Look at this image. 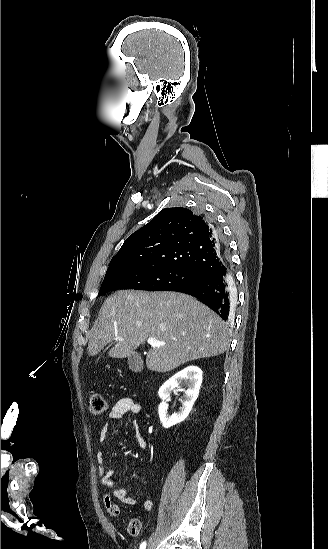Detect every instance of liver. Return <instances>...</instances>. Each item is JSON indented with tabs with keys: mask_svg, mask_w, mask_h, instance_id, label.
Masks as SVG:
<instances>
[{
	"mask_svg": "<svg viewBox=\"0 0 328 549\" xmlns=\"http://www.w3.org/2000/svg\"><path fill=\"white\" fill-rule=\"evenodd\" d=\"M88 339L90 357L115 343L108 355L113 359L130 357L147 339L165 341L164 347L151 345L147 353L146 367L157 373L221 355L230 345L224 321L214 311L190 295L172 291H116L104 301Z\"/></svg>",
	"mask_w": 328,
	"mask_h": 549,
	"instance_id": "obj_1",
	"label": "liver"
}]
</instances>
